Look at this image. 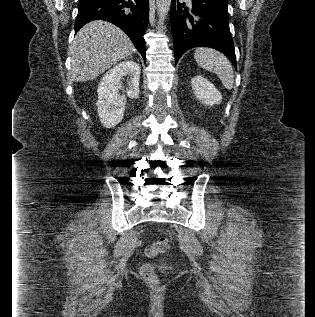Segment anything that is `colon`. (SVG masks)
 <instances>
[{"mask_svg": "<svg viewBox=\"0 0 315 317\" xmlns=\"http://www.w3.org/2000/svg\"><path fill=\"white\" fill-rule=\"evenodd\" d=\"M170 246L167 238H160L146 248V254L149 257H156L168 251ZM142 276L149 282H157V272L154 264H145L141 269Z\"/></svg>", "mask_w": 315, "mask_h": 317, "instance_id": "5ec220e1", "label": "colon"}]
</instances>
